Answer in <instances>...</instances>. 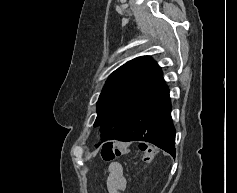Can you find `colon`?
<instances>
[{
	"label": "colon",
	"mask_w": 237,
	"mask_h": 193,
	"mask_svg": "<svg viewBox=\"0 0 237 193\" xmlns=\"http://www.w3.org/2000/svg\"><path fill=\"white\" fill-rule=\"evenodd\" d=\"M140 150L142 153V158L145 162H151L154 158V151L146 144L140 145ZM127 145L124 143H113L108 142L103 145L101 150V156L103 160L109 162L115 159V157L126 153Z\"/></svg>",
	"instance_id": "1"
}]
</instances>
